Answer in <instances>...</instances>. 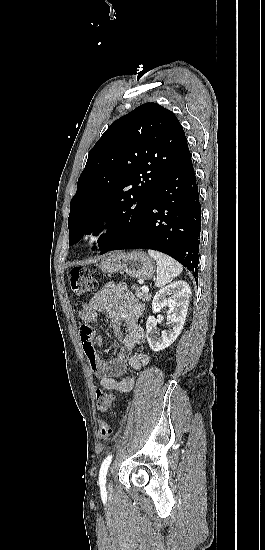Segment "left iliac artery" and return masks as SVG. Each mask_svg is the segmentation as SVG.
<instances>
[{
  "label": "left iliac artery",
  "instance_id": "1",
  "mask_svg": "<svg viewBox=\"0 0 265 550\" xmlns=\"http://www.w3.org/2000/svg\"><path fill=\"white\" fill-rule=\"evenodd\" d=\"M112 455H108L106 459L103 461L100 472H99V483L105 484L106 483V475L109 468V465L111 463Z\"/></svg>",
  "mask_w": 265,
  "mask_h": 550
}]
</instances>
